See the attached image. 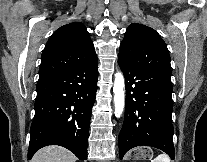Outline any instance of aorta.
<instances>
[{
  "label": "aorta",
  "instance_id": "obj_1",
  "mask_svg": "<svg viewBox=\"0 0 207 162\" xmlns=\"http://www.w3.org/2000/svg\"><path fill=\"white\" fill-rule=\"evenodd\" d=\"M124 76L121 72L116 73L114 80V106H115V116L119 118L124 109L125 104V93H124Z\"/></svg>",
  "mask_w": 207,
  "mask_h": 162
}]
</instances>
